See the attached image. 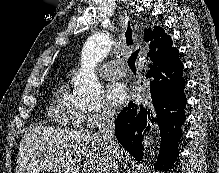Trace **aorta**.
<instances>
[{
  "mask_svg": "<svg viewBox=\"0 0 219 173\" xmlns=\"http://www.w3.org/2000/svg\"><path fill=\"white\" fill-rule=\"evenodd\" d=\"M110 48L111 38L108 33H95L86 40L82 49L81 69L73 79L75 92L81 100L89 102L100 98L102 87L94 73V67L107 56ZM151 143L150 137H144V149Z\"/></svg>",
  "mask_w": 219,
  "mask_h": 173,
  "instance_id": "obj_1",
  "label": "aorta"
}]
</instances>
